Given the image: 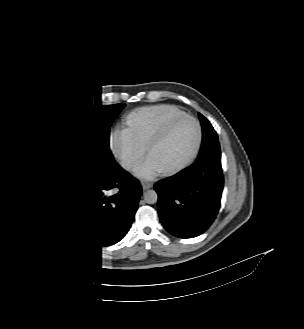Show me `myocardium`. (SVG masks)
<instances>
[{
	"mask_svg": "<svg viewBox=\"0 0 304 329\" xmlns=\"http://www.w3.org/2000/svg\"><path fill=\"white\" fill-rule=\"evenodd\" d=\"M184 119H190V120L194 121L197 125L198 138H197L196 144H195L192 152L190 153V155L182 163H180L177 166L171 167V168L160 170L159 172L163 175L176 174V173L182 171L183 169H185L186 167H188L194 161V159L196 158V156L198 155V153L200 151L202 141H203V128H202L200 121L196 117L189 115V114H184L181 116L171 118L169 121H167V123L164 125V127L150 139V141L148 142V144L145 147V158L148 161L149 154L154 149V147L157 146L163 140H165L168 137L172 128L178 122H180Z\"/></svg>",
	"mask_w": 304,
	"mask_h": 329,
	"instance_id": "f54148a6",
	"label": "myocardium"
}]
</instances>
